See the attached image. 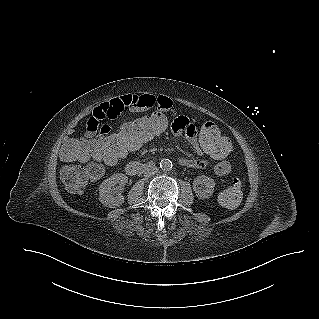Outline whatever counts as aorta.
I'll return each instance as SVG.
<instances>
[{
  "label": "aorta",
  "instance_id": "obj_1",
  "mask_svg": "<svg viewBox=\"0 0 319 319\" xmlns=\"http://www.w3.org/2000/svg\"><path fill=\"white\" fill-rule=\"evenodd\" d=\"M159 164L161 170L164 172L170 171L173 167L172 161L169 159H162Z\"/></svg>",
  "mask_w": 319,
  "mask_h": 319
}]
</instances>
